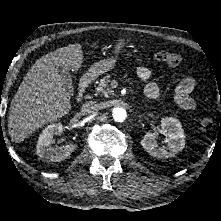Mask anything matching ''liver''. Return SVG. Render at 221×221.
<instances>
[{
	"mask_svg": "<svg viewBox=\"0 0 221 221\" xmlns=\"http://www.w3.org/2000/svg\"><path fill=\"white\" fill-rule=\"evenodd\" d=\"M82 62L81 45L76 43L46 54L31 66L10 106L8 132L14 143L69 113L70 93L59 69L78 71Z\"/></svg>",
	"mask_w": 221,
	"mask_h": 221,
	"instance_id": "obj_1",
	"label": "liver"
}]
</instances>
